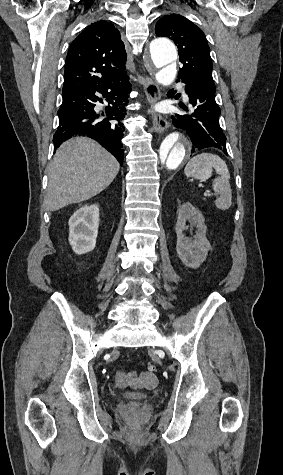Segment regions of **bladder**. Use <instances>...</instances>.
<instances>
[{
  "label": "bladder",
  "mask_w": 283,
  "mask_h": 475,
  "mask_svg": "<svg viewBox=\"0 0 283 475\" xmlns=\"http://www.w3.org/2000/svg\"><path fill=\"white\" fill-rule=\"evenodd\" d=\"M121 398L125 400V404L129 406H139L146 402L147 398L145 396L137 397L132 393H125L121 395Z\"/></svg>",
  "instance_id": "31cf9c89"
}]
</instances>
